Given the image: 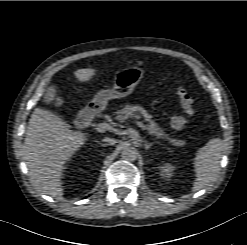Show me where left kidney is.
I'll list each match as a JSON object with an SVG mask.
<instances>
[{
  "instance_id": "5707ae66",
  "label": "left kidney",
  "mask_w": 247,
  "mask_h": 245,
  "mask_svg": "<svg viewBox=\"0 0 247 245\" xmlns=\"http://www.w3.org/2000/svg\"><path fill=\"white\" fill-rule=\"evenodd\" d=\"M174 168L175 167L169 163L164 164L161 167V176L167 179L171 178L174 172Z\"/></svg>"
}]
</instances>
